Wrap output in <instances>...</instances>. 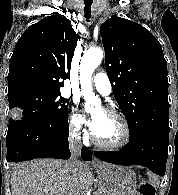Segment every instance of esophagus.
Segmentation results:
<instances>
[{"instance_id": "34e87169", "label": "esophagus", "mask_w": 178, "mask_h": 195, "mask_svg": "<svg viewBox=\"0 0 178 195\" xmlns=\"http://www.w3.org/2000/svg\"><path fill=\"white\" fill-rule=\"evenodd\" d=\"M93 165L94 166H102V163L96 159L93 160Z\"/></svg>"}]
</instances>
